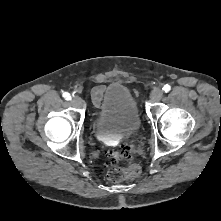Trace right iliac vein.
<instances>
[{"mask_svg":"<svg viewBox=\"0 0 221 221\" xmlns=\"http://www.w3.org/2000/svg\"><path fill=\"white\" fill-rule=\"evenodd\" d=\"M71 102L74 106L78 108H83L85 105L84 101L79 96H73Z\"/></svg>","mask_w":221,"mask_h":221,"instance_id":"1","label":"right iliac vein"}]
</instances>
